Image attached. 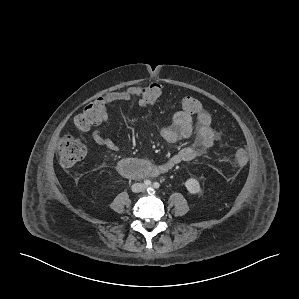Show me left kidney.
<instances>
[{
	"label": "left kidney",
	"mask_w": 299,
	"mask_h": 299,
	"mask_svg": "<svg viewBox=\"0 0 299 299\" xmlns=\"http://www.w3.org/2000/svg\"><path fill=\"white\" fill-rule=\"evenodd\" d=\"M185 187L188 190L190 194H200L202 193V189L200 187V184L198 180L194 178H189L185 182Z\"/></svg>",
	"instance_id": "1"
}]
</instances>
